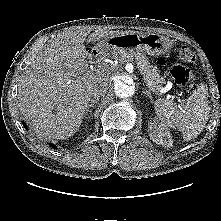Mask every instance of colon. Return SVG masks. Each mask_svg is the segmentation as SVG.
Returning a JSON list of instances; mask_svg holds the SVG:
<instances>
[{
  "label": "colon",
  "mask_w": 221,
  "mask_h": 221,
  "mask_svg": "<svg viewBox=\"0 0 221 221\" xmlns=\"http://www.w3.org/2000/svg\"><path fill=\"white\" fill-rule=\"evenodd\" d=\"M196 60L194 52L188 46H183L179 52V64L172 67L171 74L179 85H187L193 78L191 69L183 64H192Z\"/></svg>",
  "instance_id": "1"
}]
</instances>
